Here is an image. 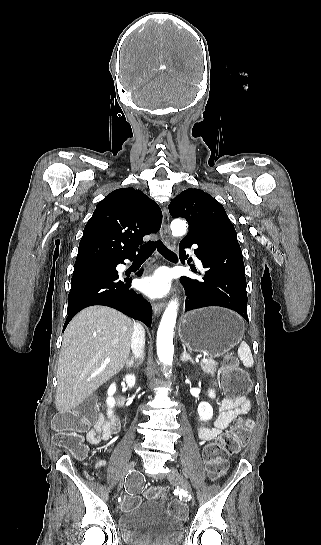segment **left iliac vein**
Wrapping results in <instances>:
<instances>
[{"label":"left iliac vein","instance_id":"left-iliac-vein-1","mask_svg":"<svg viewBox=\"0 0 321 545\" xmlns=\"http://www.w3.org/2000/svg\"><path fill=\"white\" fill-rule=\"evenodd\" d=\"M168 479L169 481L177 484L179 487H181L185 491L189 493L191 492V486L188 480L183 475H181L176 468L174 467L170 468V471L168 473Z\"/></svg>","mask_w":321,"mask_h":545}]
</instances>
